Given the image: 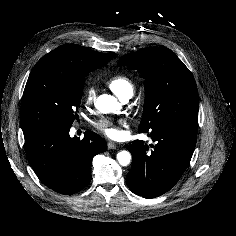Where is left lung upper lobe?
Returning <instances> with one entry per match:
<instances>
[{"mask_svg": "<svg viewBox=\"0 0 236 236\" xmlns=\"http://www.w3.org/2000/svg\"><path fill=\"white\" fill-rule=\"evenodd\" d=\"M138 70L145 78V103L139 132L168 122L198 123V91L192 73L166 47H151L120 57L118 66Z\"/></svg>", "mask_w": 236, "mask_h": 236, "instance_id": "left-lung-upper-lobe-1", "label": "left lung upper lobe"}]
</instances>
